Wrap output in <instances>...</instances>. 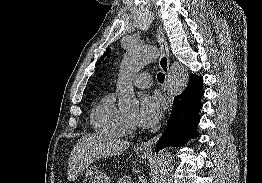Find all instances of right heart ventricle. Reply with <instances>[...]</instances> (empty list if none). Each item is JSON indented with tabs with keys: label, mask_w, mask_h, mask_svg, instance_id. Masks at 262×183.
Instances as JSON below:
<instances>
[{
	"label": "right heart ventricle",
	"mask_w": 262,
	"mask_h": 183,
	"mask_svg": "<svg viewBox=\"0 0 262 183\" xmlns=\"http://www.w3.org/2000/svg\"><path fill=\"white\" fill-rule=\"evenodd\" d=\"M90 123L95 132L111 138L127 135L126 115L116 106L113 94L103 96L92 108Z\"/></svg>",
	"instance_id": "1"
}]
</instances>
